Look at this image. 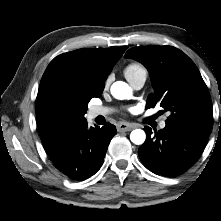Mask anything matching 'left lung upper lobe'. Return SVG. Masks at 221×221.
I'll list each match as a JSON object with an SVG mask.
<instances>
[{
  "instance_id": "1",
  "label": "left lung upper lobe",
  "mask_w": 221,
  "mask_h": 221,
  "mask_svg": "<svg viewBox=\"0 0 221 221\" xmlns=\"http://www.w3.org/2000/svg\"><path fill=\"white\" fill-rule=\"evenodd\" d=\"M125 57L141 62L148 69L154 94L149 95L147 106L158 103L169 111L166 125L208 138L213 127L210 94L199 70L186 54L171 46H144L129 49Z\"/></svg>"
}]
</instances>
